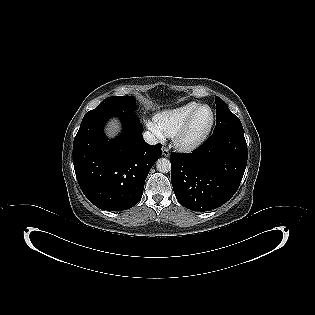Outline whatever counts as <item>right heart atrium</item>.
<instances>
[{"label":"right heart atrium","instance_id":"d8ad5b80","mask_svg":"<svg viewBox=\"0 0 315 315\" xmlns=\"http://www.w3.org/2000/svg\"><path fill=\"white\" fill-rule=\"evenodd\" d=\"M147 127L159 138V139H164V134L158 127L155 121H148L147 122Z\"/></svg>","mask_w":315,"mask_h":315}]
</instances>
